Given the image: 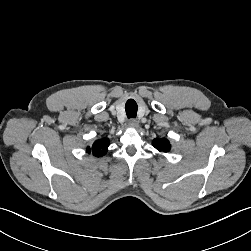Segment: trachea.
<instances>
[{
    "label": "trachea",
    "instance_id": "3493384b",
    "mask_svg": "<svg viewBox=\"0 0 251 251\" xmlns=\"http://www.w3.org/2000/svg\"><path fill=\"white\" fill-rule=\"evenodd\" d=\"M125 110L128 118H136L138 106L133 99H129L126 102Z\"/></svg>",
    "mask_w": 251,
    "mask_h": 251
}]
</instances>
